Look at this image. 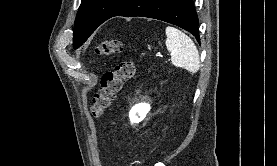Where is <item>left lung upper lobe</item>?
<instances>
[{"label": "left lung upper lobe", "mask_w": 277, "mask_h": 166, "mask_svg": "<svg viewBox=\"0 0 277 166\" xmlns=\"http://www.w3.org/2000/svg\"><path fill=\"white\" fill-rule=\"evenodd\" d=\"M133 0H82L73 29V48H79L104 21Z\"/></svg>", "instance_id": "left-lung-upper-lobe-1"}]
</instances>
